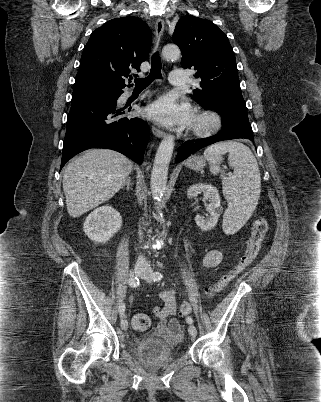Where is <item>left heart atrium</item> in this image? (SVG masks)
I'll return each mask as SVG.
<instances>
[{
	"instance_id": "1",
	"label": "left heart atrium",
	"mask_w": 321,
	"mask_h": 402,
	"mask_svg": "<svg viewBox=\"0 0 321 402\" xmlns=\"http://www.w3.org/2000/svg\"><path fill=\"white\" fill-rule=\"evenodd\" d=\"M146 112L149 118L165 126L188 124L193 118L188 104H178L170 97H164L154 102Z\"/></svg>"
}]
</instances>
